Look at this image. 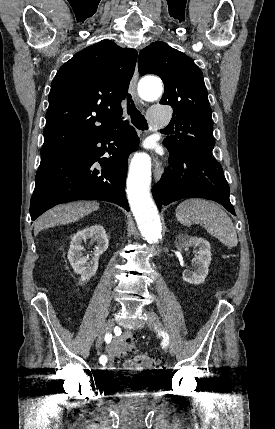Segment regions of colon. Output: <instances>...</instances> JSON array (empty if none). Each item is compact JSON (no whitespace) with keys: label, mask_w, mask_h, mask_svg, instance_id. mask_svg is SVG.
<instances>
[{"label":"colon","mask_w":275,"mask_h":429,"mask_svg":"<svg viewBox=\"0 0 275 429\" xmlns=\"http://www.w3.org/2000/svg\"><path fill=\"white\" fill-rule=\"evenodd\" d=\"M135 342V339L128 341L126 343V346L119 351L118 357L122 358L127 351L132 350L135 347ZM134 359L138 364L144 366L145 368L153 372H158L160 370V362L158 358L154 356L147 354H137Z\"/></svg>","instance_id":"1"}]
</instances>
